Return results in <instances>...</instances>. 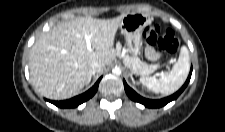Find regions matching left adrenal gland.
<instances>
[{"label": "left adrenal gland", "mask_w": 225, "mask_h": 132, "mask_svg": "<svg viewBox=\"0 0 225 132\" xmlns=\"http://www.w3.org/2000/svg\"><path fill=\"white\" fill-rule=\"evenodd\" d=\"M130 77H131L132 83H133V84H136V81L134 80L132 74L130 75Z\"/></svg>", "instance_id": "obj_1"}]
</instances>
